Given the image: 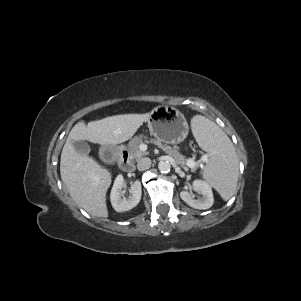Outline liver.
Listing matches in <instances>:
<instances>
[{"label": "liver", "mask_w": 301, "mask_h": 301, "mask_svg": "<svg viewBox=\"0 0 301 301\" xmlns=\"http://www.w3.org/2000/svg\"><path fill=\"white\" fill-rule=\"evenodd\" d=\"M148 118L149 114L115 115L87 125L78 122L70 131L61 153V179L73 200L91 215L108 217L106 192L112 177L92 158L77 153L73 142L120 144L129 140Z\"/></svg>", "instance_id": "6515ba94"}]
</instances>
